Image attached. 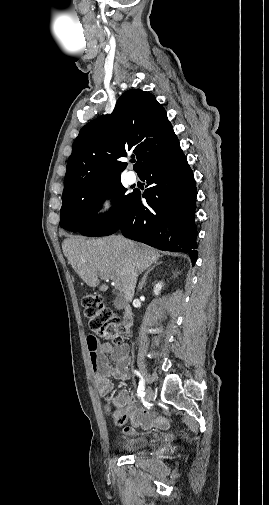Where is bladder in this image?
Segmentation results:
<instances>
[{"label":"bladder","instance_id":"1","mask_svg":"<svg viewBox=\"0 0 269 505\" xmlns=\"http://www.w3.org/2000/svg\"><path fill=\"white\" fill-rule=\"evenodd\" d=\"M150 442L146 437H139L123 442L120 448L127 453H135L146 448Z\"/></svg>","mask_w":269,"mask_h":505}]
</instances>
